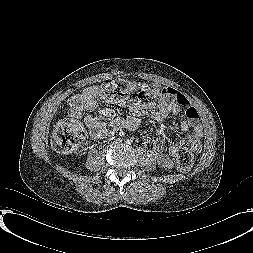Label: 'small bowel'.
Returning a JSON list of instances; mask_svg holds the SVG:
<instances>
[{
    "mask_svg": "<svg viewBox=\"0 0 253 253\" xmlns=\"http://www.w3.org/2000/svg\"><path fill=\"white\" fill-rule=\"evenodd\" d=\"M153 88L164 91L165 98L145 110L128 106L129 116L121 117L111 108H103L98 114H94L93 111L97 107V88L90 86L69 98V116L77 121L84 115L85 123L93 139L106 138L121 128H135L138 122L136 115L142 112L158 123H163L170 115L178 116L179 129L184 137L171 142L167 148L163 137H160L154 142L152 148V154L158 165L164 169H170L173 166L172 158L176 157L180 149L189 147L193 152L201 149L202 126L199 123L196 107L182 93L170 87L153 86ZM141 136L145 142L150 141L148 131H143Z\"/></svg>",
    "mask_w": 253,
    "mask_h": 253,
    "instance_id": "small-bowel-1",
    "label": "small bowel"
}]
</instances>
